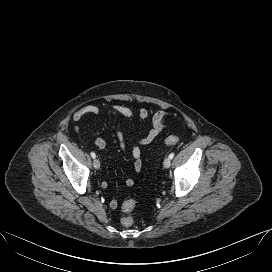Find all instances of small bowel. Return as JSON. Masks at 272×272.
I'll use <instances>...</instances> for the list:
<instances>
[{"label":"small bowel","instance_id":"c3829d8e","mask_svg":"<svg viewBox=\"0 0 272 272\" xmlns=\"http://www.w3.org/2000/svg\"><path fill=\"white\" fill-rule=\"evenodd\" d=\"M101 110L97 106L88 105L85 107L80 108L79 110L75 111L73 113V120L79 121L83 119L84 117H96L100 114ZM106 114L109 116H121L125 117L129 120H133L135 117H137L140 121L145 122L148 120L150 116V112L147 108L141 107L135 113L132 109H130L127 106L124 105H113L110 108H108L106 111ZM167 113L162 109H154L151 117L152 126L151 129L148 131V133L138 139L135 143L131 145L132 150V156L134 160V170L136 173H139L142 170V157H141V146H146L151 144L159 135L160 133L166 128L167 126ZM115 136L119 142V146L121 150L126 149V142L124 134L121 130L115 131ZM94 145L100 149L104 150L107 147V143L103 138H96L94 140ZM125 184L129 187L134 185V179L133 178H127L125 181ZM102 187L106 188L107 184L104 182L102 183ZM110 207L112 209L117 208L118 202L115 199H112L109 203Z\"/></svg>","mask_w":272,"mask_h":272}]
</instances>
